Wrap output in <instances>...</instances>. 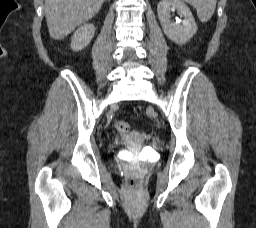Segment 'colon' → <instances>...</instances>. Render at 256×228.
Wrapping results in <instances>:
<instances>
[{
    "label": "colon",
    "instance_id": "1",
    "mask_svg": "<svg viewBox=\"0 0 256 228\" xmlns=\"http://www.w3.org/2000/svg\"><path fill=\"white\" fill-rule=\"evenodd\" d=\"M115 129H116V131H117L119 134H125V133H127L128 130H129V125H128L126 122H124V121H117V122L115 123ZM130 185H131L132 187H134V186L136 185V180H135V178H132V179L130 180Z\"/></svg>",
    "mask_w": 256,
    "mask_h": 228
}]
</instances>
